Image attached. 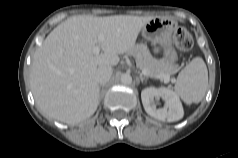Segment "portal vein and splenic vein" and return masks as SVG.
<instances>
[{
  "label": "portal vein and splenic vein",
  "instance_id": "1",
  "mask_svg": "<svg viewBox=\"0 0 238 158\" xmlns=\"http://www.w3.org/2000/svg\"><path fill=\"white\" fill-rule=\"evenodd\" d=\"M103 40H104V36H102V35L98 36V44L93 47V53L95 55H98L100 53V44H101V42H103ZM142 73L145 76H149V72H148L147 69H143ZM155 78L163 80L165 83L170 81V76L169 75H158ZM172 81H175V79H172Z\"/></svg>",
  "mask_w": 238,
  "mask_h": 158
}]
</instances>
